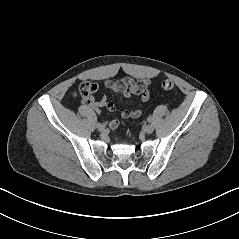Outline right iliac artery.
<instances>
[{
    "mask_svg": "<svg viewBox=\"0 0 239 239\" xmlns=\"http://www.w3.org/2000/svg\"><path fill=\"white\" fill-rule=\"evenodd\" d=\"M100 125H101V123H97V124H96V127L98 128Z\"/></svg>",
    "mask_w": 239,
    "mask_h": 239,
    "instance_id": "82829eb1",
    "label": "right iliac artery"
}]
</instances>
